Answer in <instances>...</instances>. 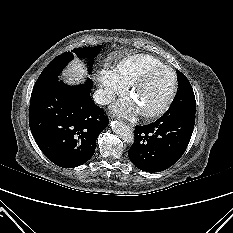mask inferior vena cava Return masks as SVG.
<instances>
[{
	"mask_svg": "<svg viewBox=\"0 0 233 233\" xmlns=\"http://www.w3.org/2000/svg\"><path fill=\"white\" fill-rule=\"evenodd\" d=\"M114 95L109 91L98 89L93 94V100L100 105H106L113 101Z\"/></svg>",
	"mask_w": 233,
	"mask_h": 233,
	"instance_id": "inferior-vena-cava-1",
	"label": "inferior vena cava"
}]
</instances>
